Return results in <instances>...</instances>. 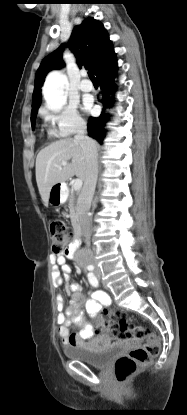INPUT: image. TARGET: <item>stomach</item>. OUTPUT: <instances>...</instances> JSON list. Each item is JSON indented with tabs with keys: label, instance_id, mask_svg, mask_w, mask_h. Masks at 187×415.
Returning <instances> with one entry per match:
<instances>
[{
	"label": "stomach",
	"instance_id": "stomach-1",
	"mask_svg": "<svg viewBox=\"0 0 187 415\" xmlns=\"http://www.w3.org/2000/svg\"><path fill=\"white\" fill-rule=\"evenodd\" d=\"M65 191V184H55L49 193V202L53 206H58L62 203L63 193Z\"/></svg>",
	"mask_w": 187,
	"mask_h": 415
}]
</instances>
